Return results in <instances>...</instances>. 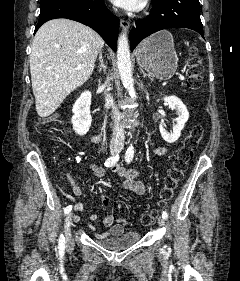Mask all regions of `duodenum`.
I'll list each match as a JSON object with an SVG mask.
<instances>
[{
  "label": "duodenum",
  "mask_w": 240,
  "mask_h": 281,
  "mask_svg": "<svg viewBox=\"0 0 240 281\" xmlns=\"http://www.w3.org/2000/svg\"><path fill=\"white\" fill-rule=\"evenodd\" d=\"M94 139H95V140H98V139H99V136H95Z\"/></svg>",
  "instance_id": "410a0bca"
}]
</instances>
